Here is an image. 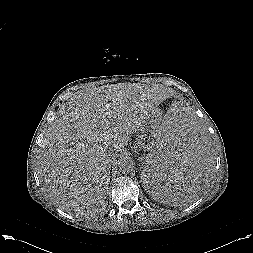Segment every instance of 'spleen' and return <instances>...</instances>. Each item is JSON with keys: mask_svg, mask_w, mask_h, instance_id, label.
<instances>
[{"mask_svg": "<svg viewBox=\"0 0 253 253\" xmlns=\"http://www.w3.org/2000/svg\"><path fill=\"white\" fill-rule=\"evenodd\" d=\"M211 147L205 126L190 108L170 111L139 178L155 200L179 203L195 197L211 179Z\"/></svg>", "mask_w": 253, "mask_h": 253, "instance_id": "1", "label": "spleen"}]
</instances>
